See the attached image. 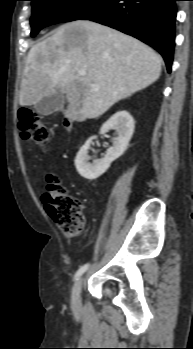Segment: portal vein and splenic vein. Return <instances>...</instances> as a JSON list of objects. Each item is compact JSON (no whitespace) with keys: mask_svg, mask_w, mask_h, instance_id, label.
Wrapping results in <instances>:
<instances>
[{"mask_svg":"<svg viewBox=\"0 0 193 349\" xmlns=\"http://www.w3.org/2000/svg\"><path fill=\"white\" fill-rule=\"evenodd\" d=\"M78 75H79V76H85V75H86V72L83 71V70H79V71H78ZM91 88L94 89V90H97V89H98V86L95 85V84H92V85H91Z\"/></svg>","mask_w":193,"mask_h":349,"instance_id":"18ae733b","label":"portal vein and splenic vein"}]
</instances>
